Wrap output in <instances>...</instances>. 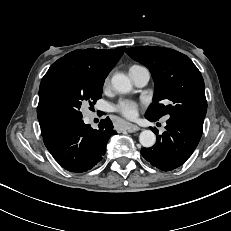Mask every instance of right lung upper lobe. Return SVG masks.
Returning <instances> with one entry per match:
<instances>
[{
    "mask_svg": "<svg viewBox=\"0 0 231 231\" xmlns=\"http://www.w3.org/2000/svg\"><path fill=\"white\" fill-rule=\"evenodd\" d=\"M124 49L125 47L111 50H75L51 65L43 77L39 88L37 117L42 135L62 124L61 120L52 110L48 99L52 79L66 69H83L95 75L107 77L108 73L123 55Z\"/></svg>",
    "mask_w": 231,
    "mask_h": 231,
    "instance_id": "obj_1",
    "label": "right lung upper lobe"
}]
</instances>
